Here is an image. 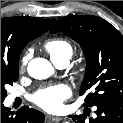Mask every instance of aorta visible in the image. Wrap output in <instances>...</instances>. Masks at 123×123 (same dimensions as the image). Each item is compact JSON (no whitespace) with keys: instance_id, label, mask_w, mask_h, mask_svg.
I'll use <instances>...</instances> for the list:
<instances>
[{"instance_id":"1","label":"aorta","mask_w":123,"mask_h":123,"mask_svg":"<svg viewBox=\"0 0 123 123\" xmlns=\"http://www.w3.org/2000/svg\"><path fill=\"white\" fill-rule=\"evenodd\" d=\"M27 71L32 78L42 80L49 78L54 73V68L48 60L34 58L28 63Z\"/></svg>"}]
</instances>
